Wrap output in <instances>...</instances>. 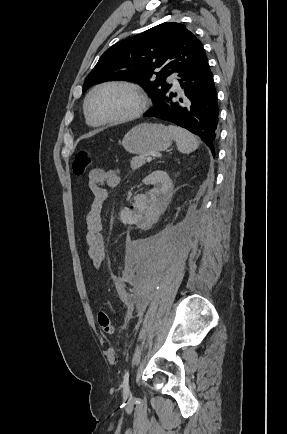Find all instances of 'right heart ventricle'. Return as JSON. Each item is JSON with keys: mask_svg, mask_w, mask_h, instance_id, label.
Here are the masks:
<instances>
[{"mask_svg": "<svg viewBox=\"0 0 287 434\" xmlns=\"http://www.w3.org/2000/svg\"><path fill=\"white\" fill-rule=\"evenodd\" d=\"M87 123L90 124V125H92V123L88 119H87Z\"/></svg>", "mask_w": 287, "mask_h": 434, "instance_id": "1", "label": "right heart ventricle"}]
</instances>
